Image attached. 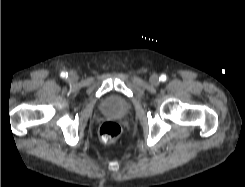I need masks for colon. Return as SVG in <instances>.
Listing matches in <instances>:
<instances>
[{
	"instance_id": "obj_1",
	"label": "colon",
	"mask_w": 245,
	"mask_h": 187,
	"mask_svg": "<svg viewBox=\"0 0 245 187\" xmlns=\"http://www.w3.org/2000/svg\"><path fill=\"white\" fill-rule=\"evenodd\" d=\"M98 132L103 142H112L120 136L122 128L116 121H105L100 125Z\"/></svg>"
}]
</instances>
